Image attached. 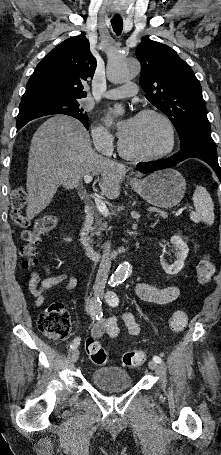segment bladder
I'll return each instance as SVG.
<instances>
[{
  "instance_id": "1",
  "label": "bladder",
  "mask_w": 221,
  "mask_h": 455,
  "mask_svg": "<svg viewBox=\"0 0 221 455\" xmlns=\"http://www.w3.org/2000/svg\"><path fill=\"white\" fill-rule=\"evenodd\" d=\"M90 381L103 391H119L132 387L129 373L118 366H106L90 372Z\"/></svg>"
}]
</instances>
